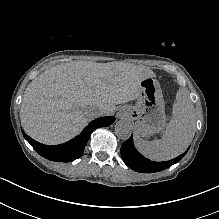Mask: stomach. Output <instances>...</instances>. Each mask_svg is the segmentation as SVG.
I'll use <instances>...</instances> for the list:
<instances>
[{"label": "stomach", "instance_id": "stomach-1", "mask_svg": "<svg viewBox=\"0 0 219 219\" xmlns=\"http://www.w3.org/2000/svg\"><path fill=\"white\" fill-rule=\"evenodd\" d=\"M121 114L131 121L141 137L160 132L165 126L166 115L159 82L153 77L142 80L135 105L122 107Z\"/></svg>", "mask_w": 219, "mask_h": 219}]
</instances>
